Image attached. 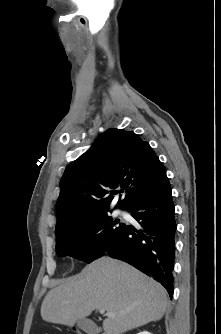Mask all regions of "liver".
<instances>
[{"instance_id":"6515ba94","label":"liver","mask_w":221,"mask_h":334,"mask_svg":"<svg viewBox=\"0 0 221 334\" xmlns=\"http://www.w3.org/2000/svg\"><path fill=\"white\" fill-rule=\"evenodd\" d=\"M166 290L133 266L101 257L81 273L51 289L41 305L44 321L73 326L95 309H105L103 334L126 331L160 320L167 307Z\"/></svg>"}]
</instances>
